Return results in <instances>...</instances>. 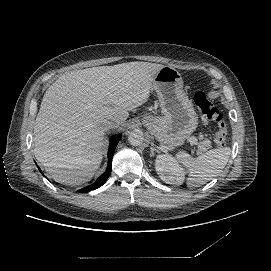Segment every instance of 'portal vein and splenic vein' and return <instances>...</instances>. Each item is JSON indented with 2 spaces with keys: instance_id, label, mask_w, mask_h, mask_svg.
Returning a JSON list of instances; mask_svg holds the SVG:
<instances>
[{
  "instance_id": "portal-vein-and-splenic-vein-1",
  "label": "portal vein and splenic vein",
  "mask_w": 271,
  "mask_h": 271,
  "mask_svg": "<svg viewBox=\"0 0 271 271\" xmlns=\"http://www.w3.org/2000/svg\"><path fill=\"white\" fill-rule=\"evenodd\" d=\"M187 142H188V144H190L191 146H197V139H196V137H194V136L188 137Z\"/></svg>"
}]
</instances>
